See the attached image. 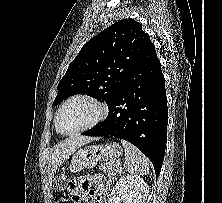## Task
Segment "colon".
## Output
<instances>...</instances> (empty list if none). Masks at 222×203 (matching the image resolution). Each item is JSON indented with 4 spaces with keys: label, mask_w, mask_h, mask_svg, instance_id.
Returning <instances> with one entry per match:
<instances>
[{
    "label": "colon",
    "mask_w": 222,
    "mask_h": 203,
    "mask_svg": "<svg viewBox=\"0 0 222 203\" xmlns=\"http://www.w3.org/2000/svg\"><path fill=\"white\" fill-rule=\"evenodd\" d=\"M74 184L65 176H60L56 179L54 185L53 196L55 203H72V193Z\"/></svg>",
    "instance_id": "obj_1"
}]
</instances>
